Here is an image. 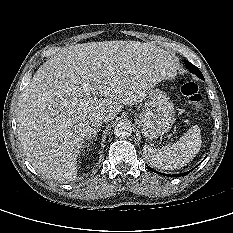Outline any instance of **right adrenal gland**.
Instances as JSON below:
<instances>
[{
    "instance_id": "obj_1",
    "label": "right adrenal gland",
    "mask_w": 233,
    "mask_h": 233,
    "mask_svg": "<svg viewBox=\"0 0 233 233\" xmlns=\"http://www.w3.org/2000/svg\"><path fill=\"white\" fill-rule=\"evenodd\" d=\"M99 132V130L97 129L95 132H94V134H93V136L90 138V142L92 143V141H93V139L97 136V133Z\"/></svg>"
}]
</instances>
